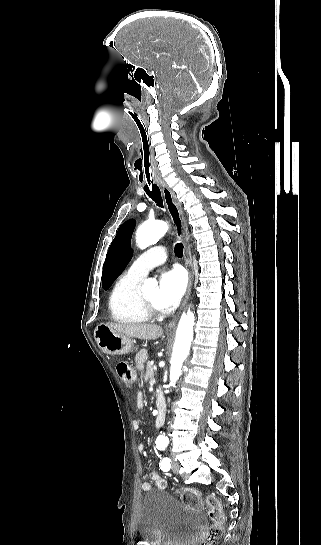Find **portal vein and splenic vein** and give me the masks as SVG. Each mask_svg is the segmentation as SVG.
I'll list each match as a JSON object with an SVG mask.
<instances>
[{
    "instance_id": "18ae733b",
    "label": "portal vein and splenic vein",
    "mask_w": 321,
    "mask_h": 545,
    "mask_svg": "<svg viewBox=\"0 0 321 545\" xmlns=\"http://www.w3.org/2000/svg\"><path fill=\"white\" fill-rule=\"evenodd\" d=\"M154 371H157V365H153Z\"/></svg>"
}]
</instances>
